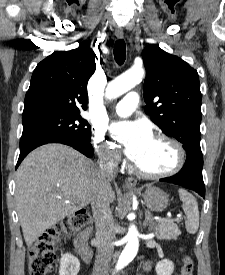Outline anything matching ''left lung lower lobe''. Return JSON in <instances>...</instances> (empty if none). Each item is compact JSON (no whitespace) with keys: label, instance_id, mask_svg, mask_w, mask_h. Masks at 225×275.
<instances>
[{"label":"left lung lower lobe","instance_id":"1","mask_svg":"<svg viewBox=\"0 0 225 275\" xmlns=\"http://www.w3.org/2000/svg\"><path fill=\"white\" fill-rule=\"evenodd\" d=\"M202 168V152L191 151L187 153L186 162L179 173L168 178L160 179V181L181 185L197 192L202 197H205Z\"/></svg>","mask_w":225,"mask_h":275}]
</instances>
